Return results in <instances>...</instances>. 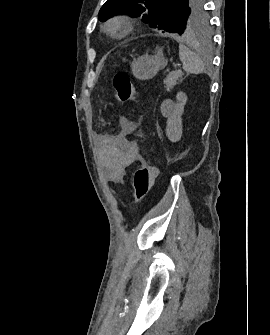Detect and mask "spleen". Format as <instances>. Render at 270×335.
<instances>
[{
  "label": "spleen",
  "instance_id": "3e777b00",
  "mask_svg": "<svg viewBox=\"0 0 270 335\" xmlns=\"http://www.w3.org/2000/svg\"><path fill=\"white\" fill-rule=\"evenodd\" d=\"M179 42H181L179 44V58L183 64L184 72H187V74H202L204 70L202 58L184 46L183 38H179Z\"/></svg>",
  "mask_w": 270,
  "mask_h": 335
}]
</instances>
